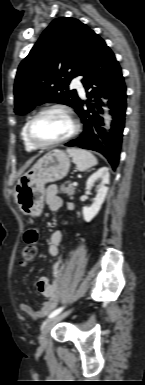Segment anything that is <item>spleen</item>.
Masks as SVG:
<instances>
[{
	"mask_svg": "<svg viewBox=\"0 0 145 385\" xmlns=\"http://www.w3.org/2000/svg\"><path fill=\"white\" fill-rule=\"evenodd\" d=\"M67 152L72 157L79 171H86L97 164L96 157L87 150L68 148Z\"/></svg>",
	"mask_w": 145,
	"mask_h": 385,
	"instance_id": "spleen-1",
	"label": "spleen"
}]
</instances>
